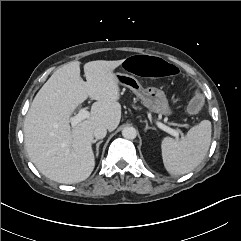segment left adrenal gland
Listing matches in <instances>:
<instances>
[{
	"label": "left adrenal gland",
	"instance_id": "a2214340",
	"mask_svg": "<svg viewBox=\"0 0 241 241\" xmlns=\"http://www.w3.org/2000/svg\"><path fill=\"white\" fill-rule=\"evenodd\" d=\"M145 123H146L145 131L149 129L155 130V128L148 126V122L146 120H145Z\"/></svg>",
	"mask_w": 241,
	"mask_h": 241
}]
</instances>
